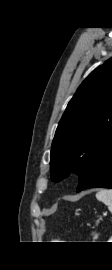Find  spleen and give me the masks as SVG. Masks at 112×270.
<instances>
[{"label":"spleen","mask_w":112,"mask_h":270,"mask_svg":"<svg viewBox=\"0 0 112 270\" xmlns=\"http://www.w3.org/2000/svg\"><path fill=\"white\" fill-rule=\"evenodd\" d=\"M97 200L103 202L108 206L109 211L112 213V189H103L96 193Z\"/></svg>","instance_id":"spleen-1"}]
</instances>
